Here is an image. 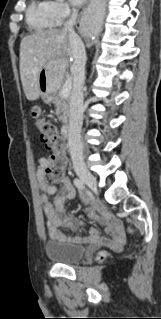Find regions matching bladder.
Instances as JSON below:
<instances>
[{"label": "bladder", "mask_w": 161, "mask_h": 319, "mask_svg": "<svg viewBox=\"0 0 161 319\" xmlns=\"http://www.w3.org/2000/svg\"><path fill=\"white\" fill-rule=\"evenodd\" d=\"M44 252L50 261L57 264H74L85 255L84 245L64 239L51 238L44 245Z\"/></svg>", "instance_id": "1"}]
</instances>
